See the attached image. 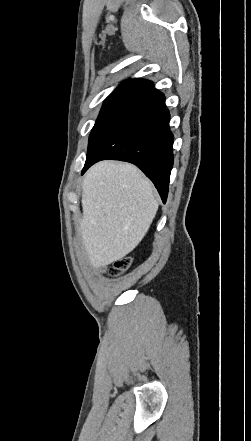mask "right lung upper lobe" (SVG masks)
I'll list each match as a JSON object with an SVG mask.
<instances>
[{
  "label": "right lung upper lobe",
  "mask_w": 251,
  "mask_h": 441,
  "mask_svg": "<svg viewBox=\"0 0 251 441\" xmlns=\"http://www.w3.org/2000/svg\"><path fill=\"white\" fill-rule=\"evenodd\" d=\"M154 89L153 83L142 79H129L121 83L105 101L135 102Z\"/></svg>",
  "instance_id": "obj_1"
}]
</instances>
